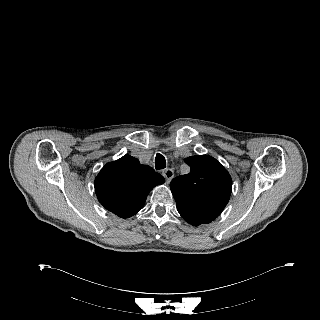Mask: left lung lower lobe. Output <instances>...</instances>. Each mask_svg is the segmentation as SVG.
Returning a JSON list of instances; mask_svg holds the SVG:
<instances>
[{
	"mask_svg": "<svg viewBox=\"0 0 320 320\" xmlns=\"http://www.w3.org/2000/svg\"><path fill=\"white\" fill-rule=\"evenodd\" d=\"M177 209L182 218L193 226H199L201 224H207L213 221L215 218L196 213L190 209L177 205Z\"/></svg>",
	"mask_w": 320,
	"mask_h": 320,
	"instance_id": "1",
	"label": "left lung lower lobe"
}]
</instances>
